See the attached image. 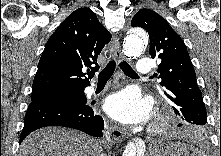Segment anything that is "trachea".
Here are the masks:
<instances>
[{"mask_svg": "<svg viewBox=\"0 0 221 156\" xmlns=\"http://www.w3.org/2000/svg\"><path fill=\"white\" fill-rule=\"evenodd\" d=\"M119 66L127 76L132 78H138V75L135 73V71L131 68V66L127 62L121 61ZM115 67H116L115 61L111 60L107 64V66L98 74V80L99 81L109 80L114 73Z\"/></svg>", "mask_w": 221, "mask_h": 156, "instance_id": "trachea-1", "label": "trachea"}]
</instances>
